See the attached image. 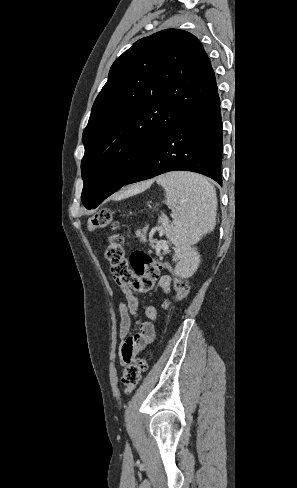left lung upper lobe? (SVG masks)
Instances as JSON below:
<instances>
[{"instance_id": "1", "label": "left lung upper lobe", "mask_w": 297, "mask_h": 488, "mask_svg": "<svg viewBox=\"0 0 297 488\" xmlns=\"http://www.w3.org/2000/svg\"><path fill=\"white\" fill-rule=\"evenodd\" d=\"M217 91L199 40L166 29L118 57L83 131L81 200L96 208L132 177L159 142Z\"/></svg>"}]
</instances>
